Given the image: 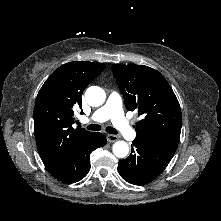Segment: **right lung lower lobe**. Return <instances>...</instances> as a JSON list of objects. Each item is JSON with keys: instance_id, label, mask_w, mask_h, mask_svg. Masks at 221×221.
<instances>
[{"instance_id": "obj_1", "label": "right lung lower lobe", "mask_w": 221, "mask_h": 221, "mask_svg": "<svg viewBox=\"0 0 221 221\" xmlns=\"http://www.w3.org/2000/svg\"><path fill=\"white\" fill-rule=\"evenodd\" d=\"M107 143L106 137L93 133L88 139L74 146L58 161L46 166L48 172L57 180L75 183L83 179L90 170V153Z\"/></svg>"}]
</instances>
